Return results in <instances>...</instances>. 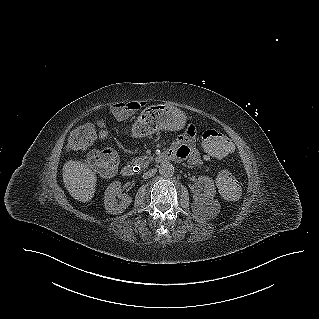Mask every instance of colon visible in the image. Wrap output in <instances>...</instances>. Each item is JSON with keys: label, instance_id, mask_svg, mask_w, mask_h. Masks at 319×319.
Wrapping results in <instances>:
<instances>
[{"label": "colon", "instance_id": "5ec220e1", "mask_svg": "<svg viewBox=\"0 0 319 319\" xmlns=\"http://www.w3.org/2000/svg\"><path fill=\"white\" fill-rule=\"evenodd\" d=\"M96 136L97 133L93 125L82 126L71 134L67 146L74 151L81 150ZM202 140L209 157L217 163L228 161L234 153L232 140L225 133L207 130L203 133ZM88 161L100 173L110 176L117 168L118 156L111 147H106L93 151ZM219 189L222 195L229 200L237 198L240 194L238 181L226 171L221 172L219 175Z\"/></svg>", "mask_w": 319, "mask_h": 319}]
</instances>
